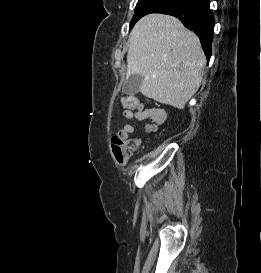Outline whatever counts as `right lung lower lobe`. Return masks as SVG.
Instances as JSON below:
<instances>
[{
    "label": "right lung lower lobe",
    "instance_id": "right-lung-lower-lobe-1",
    "mask_svg": "<svg viewBox=\"0 0 261 273\" xmlns=\"http://www.w3.org/2000/svg\"><path fill=\"white\" fill-rule=\"evenodd\" d=\"M159 13L177 17L185 27L194 31L201 41L205 55L210 59L215 21L209 0H167L166 9Z\"/></svg>",
    "mask_w": 261,
    "mask_h": 273
}]
</instances>
